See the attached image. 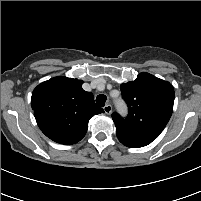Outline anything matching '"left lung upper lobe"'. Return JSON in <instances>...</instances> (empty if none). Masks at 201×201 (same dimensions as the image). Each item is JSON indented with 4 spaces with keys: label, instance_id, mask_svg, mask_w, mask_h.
I'll return each instance as SVG.
<instances>
[{
    "label": "left lung upper lobe",
    "instance_id": "left-lung-upper-lobe-1",
    "mask_svg": "<svg viewBox=\"0 0 201 201\" xmlns=\"http://www.w3.org/2000/svg\"><path fill=\"white\" fill-rule=\"evenodd\" d=\"M128 105V116L123 119L112 114L116 134L152 142L168 123L174 103L173 86L149 73H140L135 81L120 86Z\"/></svg>",
    "mask_w": 201,
    "mask_h": 201
}]
</instances>
